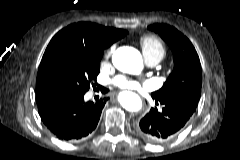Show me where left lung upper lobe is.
<instances>
[{
	"mask_svg": "<svg viewBox=\"0 0 240 160\" xmlns=\"http://www.w3.org/2000/svg\"><path fill=\"white\" fill-rule=\"evenodd\" d=\"M148 29L167 42L174 56V69L163 87L151 94L157 101L173 100L197 107L201 95L202 70L198 54L190 40L176 28L153 24Z\"/></svg>",
	"mask_w": 240,
	"mask_h": 160,
	"instance_id": "obj_1",
	"label": "left lung upper lobe"
}]
</instances>
